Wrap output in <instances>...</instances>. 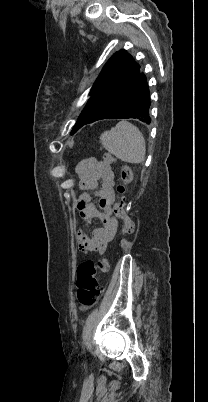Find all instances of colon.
I'll list each match as a JSON object with an SVG mask.
<instances>
[{"label": "colon", "instance_id": "obj_1", "mask_svg": "<svg viewBox=\"0 0 208 402\" xmlns=\"http://www.w3.org/2000/svg\"><path fill=\"white\" fill-rule=\"evenodd\" d=\"M105 161L113 162V157L110 153L104 154ZM121 183L117 187V197L114 202V210L117 217L122 221V234L131 235L135 229L134 220L127 214L126 211V186L132 180L130 168L127 164L120 166ZM109 272V263L106 258H101L98 261L85 260L78 264L76 269L77 283V300L83 307H93L97 304L100 298L102 287L97 281V274H107Z\"/></svg>", "mask_w": 208, "mask_h": 402}]
</instances>
